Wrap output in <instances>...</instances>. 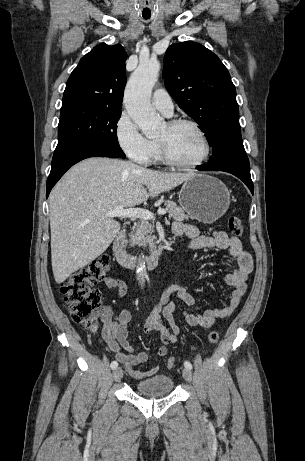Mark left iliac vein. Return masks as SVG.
I'll return each instance as SVG.
<instances>
[{
	"label": "left iliac vein",
	"instance_id": "1",
	"mask_svg": "<svg viewBox=\"0 0 305 461\" xmlns=\"http://www.w3.org/2000/svg\"><path fill=\"white\" fill-rule=\"evenodd\" d=\"M183 377L186 381L191 382L192 380V372L188 368H184L182 371Z\"/></svg>",
	"mask_w": 305,
	"mask_h": 461
}]
</instances>
